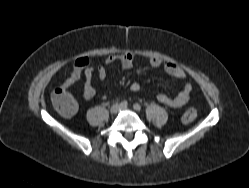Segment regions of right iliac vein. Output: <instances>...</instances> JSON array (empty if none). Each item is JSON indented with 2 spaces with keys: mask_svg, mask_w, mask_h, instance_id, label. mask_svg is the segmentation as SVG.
<instances>
[{
  "mask_svg": "<svg viewBox=\"0 0 249 188\" xmlns=\"http://www.w3.org/2000/svg\"><path fill=\"white\" fill-rule=\"evenodd\" d=\"M118 109H119V105H118V104H114V105L110 108V112H111L112 114H115V113H117Z\"/></svg>",
  "mask_w": 249,
  "mask_h": 188,
  "instance_id": "1",
  "label": "right iliac vein"
}]
</instances>
